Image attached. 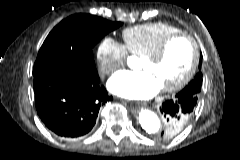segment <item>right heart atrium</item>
Here are the masks:
<instances>
[{
    "mask_svg": "<svg viewBox=\"0 0 240 160\" xmlns=\"http://www.w3.org/2000/svg\"><path fill=\"white\" fill-rule=\"evenodd\" d=\"M128 53L124 44L107 37L97 49V61L102 74L110 75L124 66Z\"/></svg>",
    "mask_w": 240,
    "mask_h": 160,
    "instance_id": "obj_1",
    "label": "right heart atrium"
}]
</instances>
